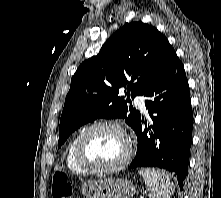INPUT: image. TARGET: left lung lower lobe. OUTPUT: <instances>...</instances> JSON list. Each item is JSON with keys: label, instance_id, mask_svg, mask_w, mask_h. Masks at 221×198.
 <instances>
[{"label": "left lung lower lobe", "instance_id": "left-lung-lower-lobe-1", "mask_svg": "<svg viewBox=\"0 0 221 198\" xmlns=\"http://www.w3.org/2000/svg\"><path fill=\"white\" fill-rule=\"evenodd\" d=\"M145 106L152 120L133 128L138 139L130 168L151 166L173 173L180 189L187 175L192 142L193 112L184 67L174 52L161 75L147 89Z\"/></svg>", "mask_w": 221, "mask_h": 198}]
</instances>
